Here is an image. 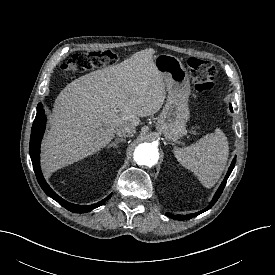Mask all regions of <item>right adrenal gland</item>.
<instances>
[{
  "label": "right adrenal gland",
  "instance_id": "right-adrenal-gland-1",
  "mask_svg": "<svg viewBox=\"0 0 275 275\" xmlns=\"http://www.w3.org/2000/svg\"><path fill=\"white\" fill-rule=\"evenodd\" d=\"M124 141H125V139H123V138H116L112 143H110L108 145L107 148H110V147L118 148L119 147L118 144L121 142H124Z\"/></svg>",
  "mask_w": 275,
  "mask_h": 275
}]
</instances>
